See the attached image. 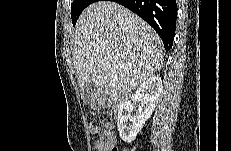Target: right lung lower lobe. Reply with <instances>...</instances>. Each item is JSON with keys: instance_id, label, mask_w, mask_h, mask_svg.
Segmentation results:
<instances>
[{"instance_id": "1", "label": "right lung lower lobe", "mask_w": 231, "mask_h": 151, "mask_svg": "<svg viewBox=\"0 0 231 151\" xmlns=\"http://www.w3.org/2000/svg\"><path fill=\"white\" fill-rule=\"evenodd\" d=\"M96 2V1H95ZM136 13L158 33L166 51L173 45L176 29V0H114Z\"/></svg>"}]
</instances>
